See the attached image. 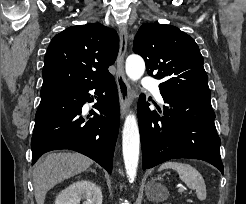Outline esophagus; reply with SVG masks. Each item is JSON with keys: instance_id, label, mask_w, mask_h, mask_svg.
<instances>
[{"instance_id": "1", "label": "esophagus", "mask_w": 246, "mask_h": 204, "mask_svg": "<svg viewBox=\"0 0 246 204\" xmlns=\"http://www.w3.org/2000/svg\"><path fill=\"white\" fill-rule=\"evenodd\" d=\"M120 49L117 58L116 83L119 93L121 117L123 118L128 111L132 101V91L124 72V59L127 51L128 30L126 25L119 27Z\"/></svg>"}]
</instances>
